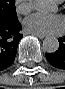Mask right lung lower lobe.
Masks as SVG:
<instances>
[{
	"mask_svg": "<svg viewBox=\"0 0 65 89\" xmlns=\"http://www.w3.org/2000/svg\"><path fill=\"white\" fill-rule=\"evenodd\" d=\"M19 21L0 22V71L5 70L14 62L19 41L23 35L20 33Z\"/></svg>",
	"mask_w": 65,
	"mask_h": 89,
	"instance_id": "98d812e1",
	"label": "right lung lower lobe"
}]
</instances>
